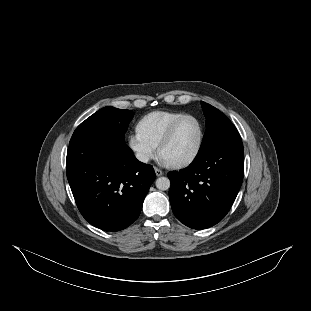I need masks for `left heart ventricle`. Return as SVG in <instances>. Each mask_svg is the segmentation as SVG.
<instances>
[{"label": "left heart ventricle", "mask_w": 311, "mask_h": 311, "mask_svg": "<svg viewBox=\"0 0 311 311\" xmlns=\"http://www.w3.org/2000/svg\"><path fill=\"white\" fill-rule=\"evenodd\" d=\"M201 138V125L195 118L186 119L178 128L173 141L163 150L161 158L168 164L190 159Z\"/></svg>", "instance_id": "1"}]
</instances>
